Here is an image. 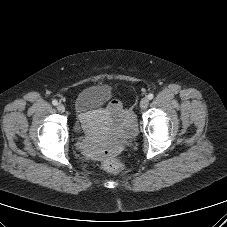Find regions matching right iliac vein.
<instances>
[{"mask_svg": "<svg viewBox=\"0 0 227 227\" xmlns=\"http://www.w3.org/2000/svg\"><path fill=\"white\" fill-rule=\"evenodd\" d=\"M57 110L61 113H63L65 111V106L63 104H58L57 105Z\"/></svg>", "mask_w": 227, "mask_h": 227, "instance_id": "obj_1", "label": "right iliac vein"}]
</instances>
